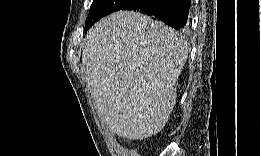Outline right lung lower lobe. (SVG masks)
I'll use <instances>...</instances> for the list:
<instances>
[{
  "mask_svg": "<svg viewBox=\"0 0 261 156\" xmlns=\"http://www.w3.org/2000/svg\"><path fill=\"white\" fill-rule=\"evenodd\" d=\"M190 6V0H130L121 10L139 11L179 30L187 27Z\"/></svg>",
  "mask_w": 261,
  "mask_h": 156,
  "instance_id": "right-lung-lower-lobe-1",
  "label": "right lung lower lobe"
}]
</instances>
